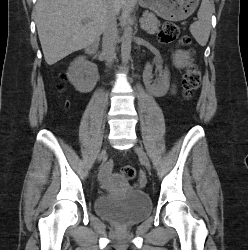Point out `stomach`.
Returning <instances> with one entry per match:
<instances>
[{"label":"stomach","mask_w":248,"mask_h":250,"mask_svg":"<svg viewBox=\"0 0 248 250\" xmlns=\"http://www.w3.org/2000/svg\"><path fill=\"white\" fill-rule=\"evenodd\" d=\"M139 4L166 20L181 21L192 15L199 0H139Z\"/></svg>","instance_id":"1"}]
</instances>
